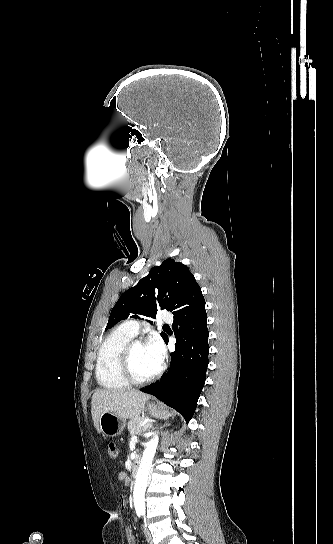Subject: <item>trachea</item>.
I'll use <instances>...</instances> for the list:
<instances>
[{
	"label": "trachea",
	"mask_w": 333,
	"mask_h": 544,
	"mask_svg": "<svg viewBox=\"0 0 333 544\" xmlns=\"http://www.w3.org/2000/svg\"><path fill=\"white\" fill-rule=\"evenodd\" d=\"M163 327H169V325H168V324H165V325H163Z\"/></svg>",
	"instance_id": "trachea-1"
}]
</instances>
